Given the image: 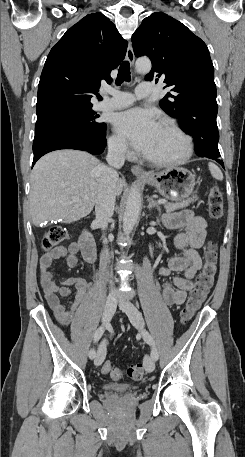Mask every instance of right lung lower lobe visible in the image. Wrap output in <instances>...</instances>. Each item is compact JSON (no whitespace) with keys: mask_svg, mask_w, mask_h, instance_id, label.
I'll return each mask as SVG.
<instances>
[{"mask_svg":"<svg viewBox=\"0 0 245 457\" xmlns=\"http://www.w3.org/2000/svg\"><path fill=\"white\" fill-rule=\"evenodd\" d=\"M106 125L100 136L88 133L85 128L71 125H53L35 131L33 164L48 152L60 149H76L101 154L106 146Z\"/></svg>","mask_w":245,"mask_h":457,"instance_id":"98d812e1","label":"right lung lower lobe"}]
</instances>
